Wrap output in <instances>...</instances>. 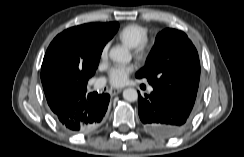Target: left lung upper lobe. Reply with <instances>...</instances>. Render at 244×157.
Masks as SVG:
<instances>
[{"instance_id": "left-lung-upper-lobe-1", "label": "left lung upper lobe", "mask_w": 244, "mask_h": 157, "mask_svg": "<svg viewBox=\"0 0 244 157\" xmlns=\"http://www.w3.org/2000/svg\"><path fill=\"white\" fill-rule=\"evenodd\" d=\"M136 77L147 78L149 84L195 113L200 99V62L196 48L184 32L170 28L160 32Z\"/></svg>"}]
</instances>
